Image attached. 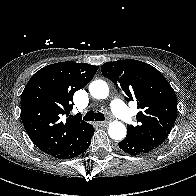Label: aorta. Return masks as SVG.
Returning <instances> with one entry per match:
<instances>
[{
  "label": "aorta",
  "mask_w": 196,
  "mask_h": 196,
  "mask_svg": "<svg viewBox=\"0 0 196 196\" xmlns=\"http://www.w3.org/2000/svg\"><path fill=\"white\" fill-rule=\"evenodd\" d=\"M90 94L96 99H105L109 94L108 84L103 80H95L89 85ZM109 136L114 140H122L126 136V127L120 121H113L109 124Z\"/></svg>",
  "instance_id": "obj_1"
}]
</instances>
